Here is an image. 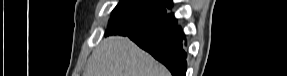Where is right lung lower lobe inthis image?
<instances>
[{"instance_id": "obj_1", "label": "right lung lower lobe", "mask_w": 287, "mask_h": 76, "mask_svg": "<svg viewBox=\"0 0 287 76\" xmlns=\"http://www.w3.org/2000/svg\"><path fill=\"white\" fill-rule=\"evenodd\" d=\"M138 46L163 63L173 76H185L186 53L183 50L184 34L172 14L140 33L126 35Z\"/></svg>"}]
</instances>
